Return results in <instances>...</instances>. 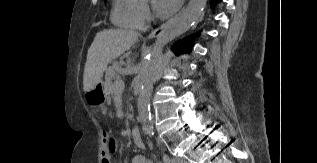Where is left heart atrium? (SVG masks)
Wrapping results in <instances>:
<instances>
[{"instance_id": "1", "label": "left heart atrium", "mask_w": 317, "mask_h": 163, "mask_svg": "<svg viewBox=\"0 0 317 163\" xmlns=\"http://www.w3.org/2000/svg\"><path fill=\"white\" fill-rule=\"evenodd\" d=\"M182 0H154V7L160 14L173 13L181 4Z\"/></svg>"}]
</instances>
